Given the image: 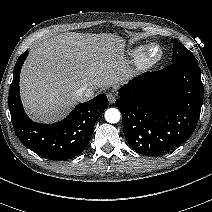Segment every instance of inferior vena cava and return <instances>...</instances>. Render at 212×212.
<instances>
[{
  "instance_id": "inferior-vena-cava-1",
  "label": "inferior vena cava",
  "mask_w": 212,
  "mask_h": 212,
  "mask_svg": "<svg viewBox=\"0 0 212 212\" xmlns=\"http://www.w3.org/2000/svg\"><path fill=\"white\" fill-rule=\"evenodd\" d=\"M94 96V89L88 87H81L75 91V97L78 101L84 102Z\"/></svg>"
}]
</instances>
